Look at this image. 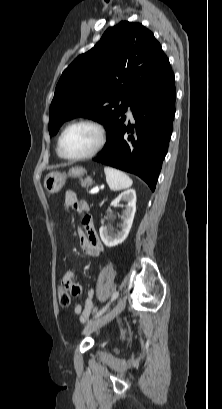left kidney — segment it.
I'll return each mask as SVG.
<instances>
[{"instance_id": "1", "label": "left kidney", "mask_w": 222, "mask_h": 409, "mask_svg": "<svg viewBox=\"0 0 222 409\" xmlns=\"http://www.w3.org/2000/svg\"><path fill=\"white\" fill-rule=\"evenodd\" d=\"M121 200L127 202L126 209L123 212V215L121 216L122 219L121 230L117 234H113L112 228L108 226H102L99 230L101 240L107 247H114L124 242L132 227L134 215L136 212L135 190L129 189L122 192L118 197H116L111 202V206L119 204Z\"/></svg>"}]
</instances>
